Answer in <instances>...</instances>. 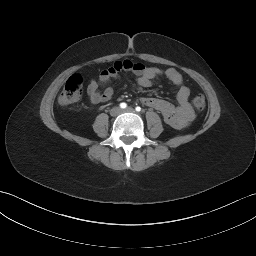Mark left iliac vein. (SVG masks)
<instances>
[{
  "label": "left iliac vein",
  "mask_w": 256,
  "mask_h": 256,
  "mask_svg": "<svg viewBox=\"0 0 256 256\" xmlns=\"http://www.w3.org/2000/svg\"><path fill=\"white\" fill-rule=\"evenodd\" d=\"M123 112H134V109L132 107H128Z\"/></svg>",
  "instance_id": "left-iliac-vein-1"
}]
</instances>
